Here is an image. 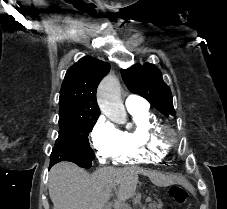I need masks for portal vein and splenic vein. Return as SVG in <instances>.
I'll return each instance as SVG.
<instances>
[{
  "mask_svg": "<svg viewBox=\"0 0 227 209\" xmlns=\"http://www.w3.org/2000/svg\"><path fill=\"white\" fill-rule=\"evenodd\" d=\"M153 198L150 196L149 198L147 197L145 200L148 202L149 200L151 201Z\"/></svg>",
  "mask_w": 227,
  "mask_h": 209,
  "instance_id": "portal-vein-and-splenic-vein-1",
  "label": "portal vein and splenic vein"
}]
</instances>
